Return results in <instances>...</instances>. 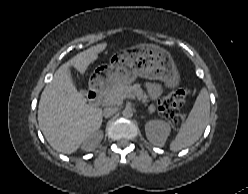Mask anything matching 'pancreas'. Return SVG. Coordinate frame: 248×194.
Masks as SVG:
<instances>
[{"label":"pancreas","instance_id":"cf45deb5","mask_svg":"<svg viewBox=\"0 0 248 194\" xmlns=\"http://www.w3.org/2000/svg\"><path fill=\"white\" fill-rule=\"evenodd\" d=\"M125 94L135 95L137 99L144 104V106H147L148 97L141 89L140 84H118L105 93L103 102L106 105H120L124 99L123 95ZM148 111L149 113H153L155 111V106L151 104L148 107Z\"/></svg>","mask_w":248,"mask_h":194}]
</instances>
